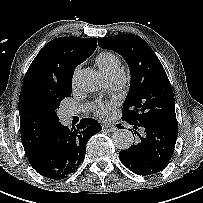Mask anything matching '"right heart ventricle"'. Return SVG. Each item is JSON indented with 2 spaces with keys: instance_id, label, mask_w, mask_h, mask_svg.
<instances>
[{
  "instance_id": "obj_1",
  "label": "right heart ventricle",
  "mask_w": 203,
  "mask_h": 203,
  "mask_svg": "<svg viewBox=\"0 0 203 203\" xmlns=\"http://www.w3.org/2000/svg\"><path fill=\"white\" fill-rule=\"evenodd\" d=\"M96 65L106 76L122 73L121 59L111 51H103L96 56Z\"/></svg>"
}]
</instances>
